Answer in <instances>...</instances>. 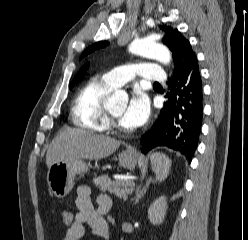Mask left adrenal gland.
I'll list each match as a JSON object with an SVG mask.
<instances>
[{
  "mask_svg": "<svg viewBox=\"0 0 248 240\" xmlns=\"http://www.w3.org/2000/svg\"><path fill=\"white\" fill-rule=\"evenodd\" d=\"M150 183L151 179H149L144 186L140 185L139 187H137L134 198L135 205L139 202V199H141L145 195Z\"/></svg>",
  "mask_w": 248,
  "mask_h": 240,
  "instance_id": "a2214340",
  "label": "left adrenal gland"
}]
</instances>
